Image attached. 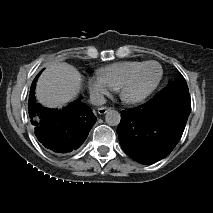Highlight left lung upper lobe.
Wrapping results in <instances>:
<instances>
[{"instance_id": "1", "label": "left lung upper lobe", "mask_w": 213, "mask_h": 213, "mask_svg": "<svg viewBox=\"0 0 213 213\" xmlns=\"http://www.w3.org/2000/svg\"><path fill=\"white\" fill-rule=\"evenodd\" d=\"M169 84H176V85H180V86H183V87H187V83L184 79V77L180 74L179 77L173 81V82H170Z\"/></svg>"}]
</instances>
